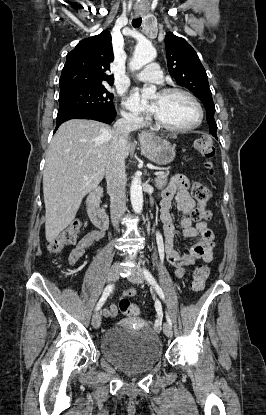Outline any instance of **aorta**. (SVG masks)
I'll return each mask as SVG.
<instances>
[{
  "label": "aorta",
  "instance_id": "obj_1",
  "mask_svg": "<svg viewBox=\"0 0 266 415\" xmlns=\"http://www.w3.org/2000/svg\"><path fill=\"white\" fill-rule=\"evenodd\" d=\"M156 57L155 48L148 42L138 44L135 48L132 61L130 62L131 69L139 70L144 65L148 64ZM156 89L154 87L145 88L142 91V100L145 101L154 96ZM130 199L132 208L135 213L140 214L143 209V192L141 186V178L135 175L131 182Z\"/></svg>",
  "mask_w": 266,
  "mask_h": 415
}]
</instances>
